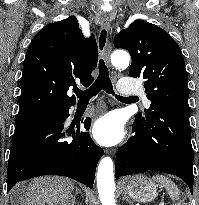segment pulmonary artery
Segmentation results:
<instances>
[{
  "mask_svg": "<svg viewBox=\"0 0 199 205\" xmlns=\"http://www.w3.org/2000/svg\"><path fill=\"white\" fill-rule=\"evenodd\" d=\"M118 88L121 93L124 94H142L144 104L148 106L150 104V101L146 98V96L143 94V90L136 86H128L126 85V81L120 80L118 83Z\"/></svg>",
  "mask_w": 199,
  "mask_h": 205,
  "instance_id": "1",
  "label": "pulmonary artery"
}]
</instances>
